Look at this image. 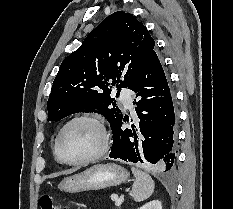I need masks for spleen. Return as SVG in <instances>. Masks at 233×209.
I'll return each mask as SVG.
<instances>
[{"label":"spleen","instance_id":"3e777b00","mask_svg":"<svg viewBox=\"0 0 233 209\" xmlns=\"http://www.w3.org/2000/svg\"><path fill=\"white\" fill-rule=\"evenodd\" d=\"M135 181L132 186L131 196L136 202L149 198L154 191V181L147 173L132 168Z\"/></svg>","mask_w":233,"mask_h":209}]
</instances>
